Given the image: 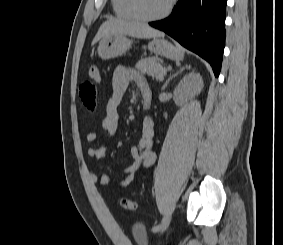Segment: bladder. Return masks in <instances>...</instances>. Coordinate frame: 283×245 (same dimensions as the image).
I'll return each mask as SVG.
<instances>
[{
	"instance_id": "1",
	"label": "bladder",
	"mask_w": 283,
	"mask_h": 245,
	"mask_svg": "<svg viewBox=\"0 0 283 245\" xmlns=\"http://www.w3.org/2000/svg\"><path fill=\"white\" fill-rule=\"evenodd\" d=\"M131 235L138 245H150V238L146 227L139 222L131 226Z\"/></svg>"
}]
</instances>
